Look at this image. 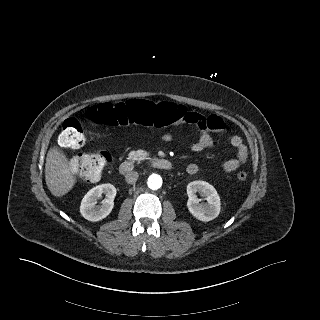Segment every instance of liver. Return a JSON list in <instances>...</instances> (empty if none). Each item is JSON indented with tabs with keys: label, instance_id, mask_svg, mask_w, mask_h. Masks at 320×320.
<instances>
[{
	"label": "liver",
	"instance_id": "liver-1",
	"mask_svg": "<svg viewBox=\"0 0 320 320\" xmlns=\"http://www.w3.org/2000/svg\"><path fill=\"white\" fill-rule=\"evenodd\" d=\"M45 181L52 195L56 197L67 194L76 183L67 157L57 148H51L47 153Z\"/></svg>",
	"mask_w": 320,
	"mask_h": 320
}]
</instances>
